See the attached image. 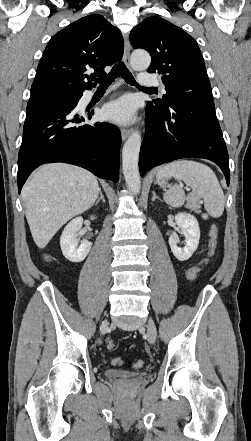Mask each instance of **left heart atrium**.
<instances>
[{"label":"left heart atrium","instance_id":"left-heart-atrium-1","mask_svg":"<svg viewBox=\"0 0 251 441\" xmlns=\"http://www.w3.org/2000/svg\"><path fill=\"white\" fill-rule=\"evenodd\" d=\"M136 116V104L131 97H122L112 101L102 109V117L115 123L132 122Z\"/></svg>","mask_w":251,"mask_h":441}]
</instances>
